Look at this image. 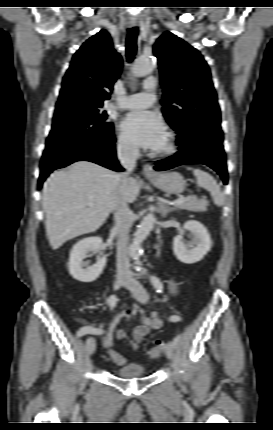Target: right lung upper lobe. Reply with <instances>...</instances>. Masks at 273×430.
<instances>
[{"instance_id":"1","label":"right lung upper lobe","mask_w":273,"mask_h":430,"mask_svg":"<svg viewBox=\"0 0 273 430\" xmlns=\"http://www.w3.org/2000/svg\"><path fill=\"white\" fill-rule=\"evenodd\" d=\"M121 68L122 58L113 49L109 33L101 30L74 54L56 107L74 101L102 106L103 101L110 98Z\"/></svg>"}]
</instances>
